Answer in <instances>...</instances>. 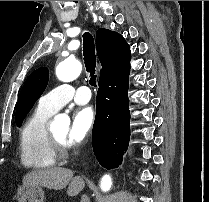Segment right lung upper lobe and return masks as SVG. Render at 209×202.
I'll return each instance as SVG.
<instances>
[{"label": "right lung upper lobe", "mask_w": 209, "mask_h": 202, "mask_svg": "<svg viewBox=\"0 0 209 202\" xmlns=\"http://www.w3.org/2000/svg\"><path fill=\"white\" fill-rule=\"evenodd\" d=\"M100 70L99 85L114 87L128 83L131 52L121 34L100 28L96 32Z\"/></svg>", "instance_id": "right-lung-upper-lobe-1"}]
</instances>
